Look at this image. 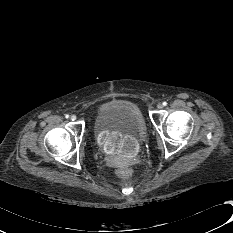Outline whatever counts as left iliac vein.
I'll return each instance as SVG.
<instances>
[{
	"label": "left iliac vein",
	"mask_w": 233,
	"mask_h": 233,
	"mask_svg": "<svg viewBox=\"0 0 233 233\" xmlns=\"http://www.w3.org/2000/svg\"><path fill=\"white\" fill-rule=\"evenodd\" d=\"M157 108H158V109H162V108H163V104L158 103V104H157Z\"/></svg>",
	"instance_id": "1"
}]
</instances>
